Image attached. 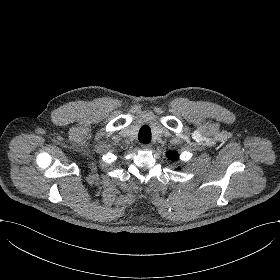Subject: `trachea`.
Instances as JSON below:
<instances>
[{"mask_svg":"<svg viewBox=\"0 0 280 280\" xmlns=\"http://www.w3.org/2000/svg\"><path fill=\"white\" fill-rule=\"evenodd\" d=\"M138 139L141 143L148 144L151 141V129L149 126L144 125L139 130Z\"/></svg>","mask_w":280,"mask_h":280,"instance_id":"3493384b","label":"trachea"}]
</instances>
